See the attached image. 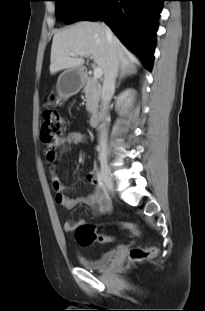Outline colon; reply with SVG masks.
<instances>
[{"label": "colon", "mask_w": 205, "mask_h": 311, "mask_svg": "<svg viewBox=\"0 0 205 311\" xmlns=\"http://www.w3.org/2000/svg\"><path fill=\"white\" fill-rule=\"evenodd\" d=\"M66 123L63 117L56 111H46L41 121V140L44 145L51 146L64 137ZM49 155V154H48ZM119 226L133 234H138V228L134 223L123 222ZM75 238L79 245L89 246L94 243H109L112 236L97 233L95 227L88 223H81L75 229ZM156 254V248L135 247L130 250L129 261L132 263L141 262L152 258Z\"/></svg>", "instance_id": "obj_1"}]
</instances>
